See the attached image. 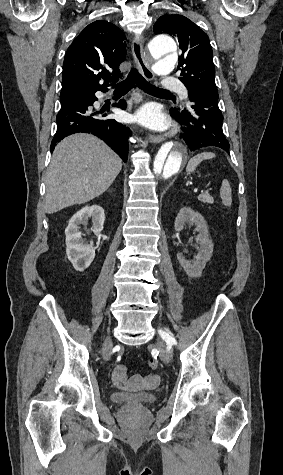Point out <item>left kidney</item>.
<instances>
[{
  "mask_svg": "<svg viewBox=\"0 0 283 475\" xmlns=\"http://www.w3.org/2000/svg\"><path fill=\"white\" fill-rule=\"evenodd\" d=\"M185 224H195L196 230L199 232L195 238L200 245L199 253L195 255V261H187L183 253H177V259L187 275H190V277H201L206 261L212 255L214 245L211 239H209L207 224L201 214L194 212L191 208H181L174 222L175 232H181Z\"/></svg>",
  "mask_w": 283,
  "mask_h": 475,
  "instance_id": "left-kidney-1",
  "label": "left kidney"
}]
</instances>
